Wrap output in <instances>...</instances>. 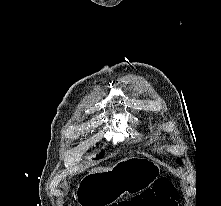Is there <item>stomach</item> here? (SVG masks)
I'll use <instances>...</instances> for the list:
<instances>
[{
  "label": "stomach",
  "instance_id": "obj_1",
  "mask_svg": "<svg viewBox=\"0 0 221 206\" xmlns=\"http://www.w3.org/2000/svg\"><path fill=\"white\" fill-rule=\"evenodd\" d=\"M160 172L159 165L150 159L131 157L119 161L109 171L88 174L79 190V206H109L125 193H137L152 185ZM83 192V193H82Z\"/></svg>",
  "mask_w": 221,
  "mask_h": 206
}]
</instances>
